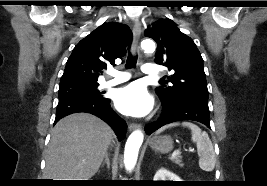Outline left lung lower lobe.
I'll use <instances>...</instances> for the list:
<instances>
[{
    "label": "left lung lower lobe",
    "mask_w": 267,
    "mask_h": 186,
    "mask_svg": "<svg viewBox=\"0 0 267 186\" xmlns=\"http://www.w3.org/2000/svg\"><path fill=\"white\" fill-rule=\"evenodd\" d=\"M210 113L208 104L188 101L176 105H163V112L160 118L145 126L146 133L152 134L162 126L181 120H193L200 122L210 128Z\"/></svg>",
    "instance_id": "1"
}]
</instances>
